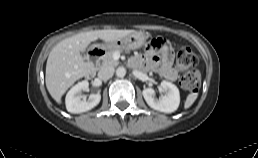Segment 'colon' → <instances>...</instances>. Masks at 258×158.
<instances>
[{
  "label": "colon",
  "instance_id": "obj_1",
  "mask_svg": "<svg viewBox=\"0 0 258 158\" xmlns=\"http://www.w3.org/2000/svg\"><path fill=\"white\" fill-rule=\"evenodd\" d=\"M165 42L163 38L153 39L149 47L159 50ZM198 64V57L188 47H181L177 53V66L183 70L184 73L180 76L179 83L182 88L189 91H194L199 87L200 74L196 69Z\"/></svg>",
  "mask_w": 258,
  "mask_h": 158
}]
</instances>
